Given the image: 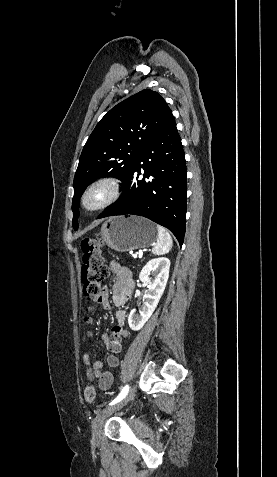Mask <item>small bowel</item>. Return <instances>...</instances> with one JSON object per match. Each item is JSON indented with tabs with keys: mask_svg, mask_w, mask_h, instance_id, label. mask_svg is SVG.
<instances>
[{
	"mask_svg": "<svg viewBox=\"0 0 277 477\" xmlns=\"http://www.w3.org/2000/svg\"><path fill=\"white\" fill-rule=\"evenodd\" d=\"M109 269L115 274L116 279L112 288V302L115 306L124 305L130 298L134 281L131 271L117 261L111 260L108 264ZM101 306L109 310L111 302L109 300L108 290L105 288L99 299ZM117 324L112 328V335L102 334V340L109 351L106 357V362L109 367L115 368L119 365V359L116 356L122 350V342L128 336V332L124 329L125 312L120 310L116 314ZM83 363L86 367V375L89 380H97L98 386L101 390H107L111 387L114 377L110 371H102L103 362H91L90 353L83 355Z\"/></svg>",
	"mask_w": 277,
	"mask_h": 477,
	"instance_id": "obj_1",
	"label": "small bowel"
}]
</instances>
